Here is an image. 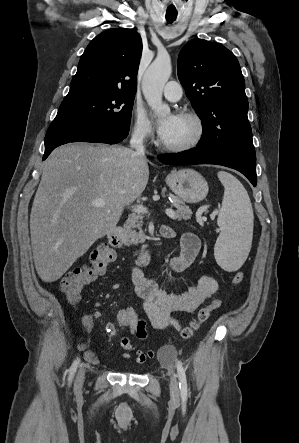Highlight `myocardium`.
<instances>
[{
    "label": "myocardium",
    "mask_w": 299,
    "mask_h": 443,
    "mask_svg": "<svg viewBox=\"0 0 299 443\" xmlns=\"http://www.w3.org/2000/svg\"><path fill=\"white\" fill-rule=\"evenodd\" d=\"M179 117L187 119L193 123L195 128L193 137L183 144H168L161 139L159 140L158 145L162 150L172 153H185L196 149L203 142L205 137V125L201 117L190 111L179 113Z\"/></svg>",
    "instance_id": "1"
}]
</instances>
